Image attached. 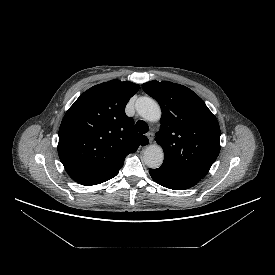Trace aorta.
<instances>
[{
	"label": "aorta",
	"mask_w": 275,
	"mask_h": 275,
	"mask_svg": "<svg viewBox=\"0 0 275 275\" xmlns=\"http://www.w3.org/2000/svg\"><path fill=\"white\" fill-rule=\"evenodd\" d=\"M136 110L142 118L151 122L158 121L161 117L160 106L150 97H140L136 101ZM163 159L164 152L159 145H150L144 151L143 161L149 168H159L163 163Z\"/></svg>",
	"instance_id": "obj_1"
}]
</instances>
